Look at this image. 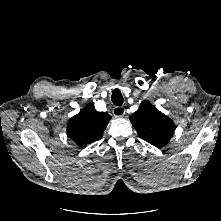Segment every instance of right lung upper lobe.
I'll return each mask as SVG.
<instances>
[{"mask_svg": "<svg viewBox=\"0 0 221 221\" xmlns=\"http://www.w3.org/2000/svg\"><path fill=\"white\" fill-rule=\"evenodd\" d=\"M111 116L105 112H98L89 103L68 122L67 135L79 147H84L94 140L100 139Z\"/></svg>", "mask_w": 221, "mask_h": 221, "instance_id": "1", "label": "right lung upper lobe"}]
</instances>
